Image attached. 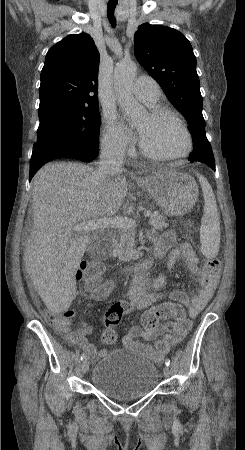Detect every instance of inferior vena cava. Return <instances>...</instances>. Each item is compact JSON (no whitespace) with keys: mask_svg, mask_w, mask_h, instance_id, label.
Wrapping results in <instances>:
<instances>
[{"mask_svg":"<svg viewBox=\"0 0 245 450\" xmlns=\"http://www.w3.org/2000/svg\"><path fill=\"white\" fill-rule=\"evenodd\" d=\"M124 149L119 144H110L102 148L100 163L96 175L100 179H110L114 174L122 171Z\"/></svg>","mask_w":245,"mask_h":450,"instance_id":"obj_1","label":"inferior vena cava"}]
</instances>
